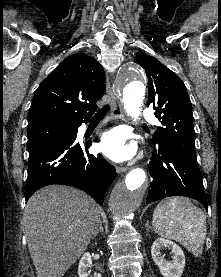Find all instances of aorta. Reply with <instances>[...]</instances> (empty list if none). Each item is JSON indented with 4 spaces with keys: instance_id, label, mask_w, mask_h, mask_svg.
<instances>
[{
    "instance_id": "aorta-1",
    "label": "aorta",
    "mask_w": 221,
    "mask_h": 277,
    "mask_svg": "<svg viewBox=\"0 0 221 277\" xmlns=\"http://www.w3.org/2000/svg\"><path fill=\"white\" fill-rule=\"evenodd\" d=\"M117 91L122 96L127 115L139 119L145 96V73L136 64L121 67L117 77ZM147 188L146 172L132 169L124 181L114 187L109 198V209L118 220H125L140 205Z\"/></svg>"
}]
</instances>
